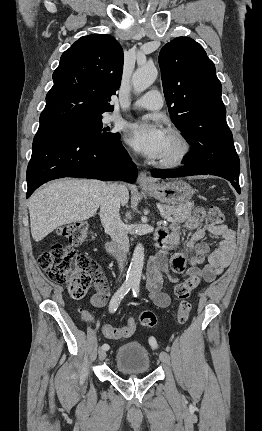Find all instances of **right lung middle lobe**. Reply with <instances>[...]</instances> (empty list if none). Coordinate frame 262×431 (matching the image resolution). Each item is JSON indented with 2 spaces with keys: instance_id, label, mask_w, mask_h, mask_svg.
<instances>
[{
  "instance_id": "dd1d6c3e",
  "label": "right lung middle lobe",
  "mask_w": 262,
  "mask_h": 431,
  "mask_svg": "<svg viewBox=\"0 0 262 431\" xmlns=\"http://www.w3.org/2000/svg\"><path fill=\"white\" fill-rule=\"evenodd\" d=\"M51 126L68 129L95 140L111 141L120 137L119 133L108 132L109 128H103L102 116L73 119Z\"/></svg>"
}]
</instances>
